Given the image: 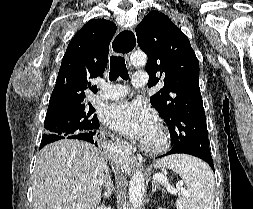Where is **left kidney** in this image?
Wrapping results in <instances>:
<instances>
[{
    "mask_svg": "<svg viewBox=\"0 0 253 209\" xmlns=\"http://www.w3.org/2000/svg\"><path fill=\"white\" fill-rule=\"evenodd\" d=\"M158 209H164V208H162V207H159Z\"/></svg>",
    "mask_w": 253,
    "mask_h": 209,
    "instance_id": "5707ae66",
    "label": "left kidney"
}]
</instances>
